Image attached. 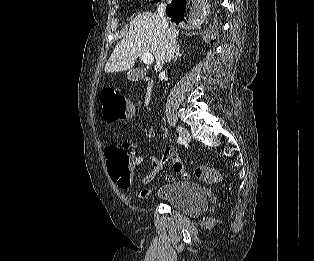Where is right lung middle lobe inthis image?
<instances>
[{"label":"right lung middle lobe","instance_id":"right-lung-middle-lobe-1","mask_svg":"<svg viewBox=\"0 0 314 261\" xmlns=\"http://www.w3.org/2000/svg\"><path fill=\"white\" fill-rule=\"evenodd\" d=\"M158 1H160V0H155V1H153V3L158 2Z\"/></svg>","mask_w":314,"mask_h":261}]
</instances>
